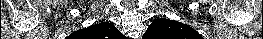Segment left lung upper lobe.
Wrapping results in <instances>:
<instances>
[{
    "label": "left lung upper lobe",
    "mask_w": 263,
    "mask_h": 39,
    "mask_svg": "<svg viewBox=\"0 0 263 39\" xmlns=\"http://www.w3.org/2000/svg\"><path fill=\"white\" fill-rule=\"evenodd\" d=\"M143 39H203V37L186 24L160 18L151 23Z\"/></svg>",
    "instance_id": "left-lung-upper-lobe-1"
}]
</instances>
